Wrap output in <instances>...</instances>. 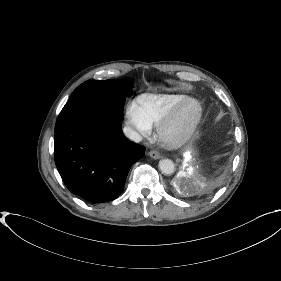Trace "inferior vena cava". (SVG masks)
Masks as SVG:
<instances>
[{
  "mask_svg": "<svg viewBox=\"0 0 281 281\" xmlns=\"http://www.w3.org/2000/svg\"><path fill=\"white\" fill-rule=\"evenodd\" d=\"M123 132L127 138H129L130 140H132L136 143H138L142 140V137L136 131L131 129L130 127H124Z\"/></svg>",
  "mask_w": 281,
  "mask_h": 281,
  "instance_id": "1",
  "label": "inferior vena cava"
}]
</instances>
